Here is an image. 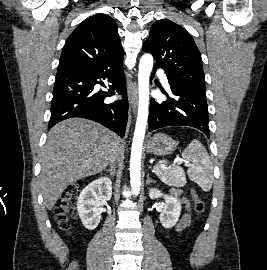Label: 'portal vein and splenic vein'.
<instances>
[{"mask_svg": "<svg viewBox=\"0 0 267 270\" xmlns=\"http://www.w3.org/2000/svg\"><path fill=\"white\" fill-rule=\"evenodd\" d=\"M175 162H177V163H182L183 160H182L181 158L177 157V158L175 159ZM184 162H185V165H188V162H186V161H184Z\"/></svg>", "mask_w": 267, "mask_h": 270, "instance_id": "portal-vein-and-splenic-vein-1", "label": "portal vein and splenic vein"}]
</instances>
